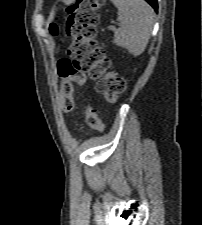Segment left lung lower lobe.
Listing matches in <instances>:
<instances>
[{"mask_svg": "<svg viewBox=\"0 0 202 225\" xmlns=\"http://www.w3.org/2000/svg\"><path fill=\"white\" fill-rule=\"evenodd\" d=\"M146 1L155 9V11H157L158 9L157 0H146Z\"/></svg>", "mask_w": 202, "mask_h": 225, "instance_id": "0a47b994", "label": "left lung lower lobe"}]
</instances>
